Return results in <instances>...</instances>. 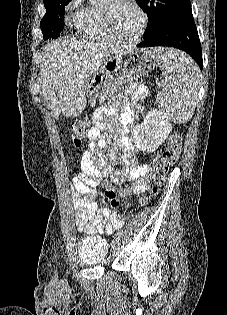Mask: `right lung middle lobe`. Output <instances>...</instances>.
Masks as SVG:
<instances>
[{
    "label": "right lung middle lobe",
    "instance_id": "dd1d6c3e",
    "mask_svg": "<svg viewBox=\"0 0 227 315\" xmlns=\"http://www.w3.org/2000/svg\"><path fill=\"white\" fill-rule=\"evenodd\" d=\"M71 0H48L44 1L46 8V14L42 18L41 30L43 33V39L57 38L60 31L63 30V20L65 13V6Z\"/></svg>",
    "mask_w": 227,
    "mask_h": 315
}]
</instances>
